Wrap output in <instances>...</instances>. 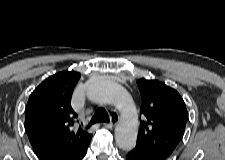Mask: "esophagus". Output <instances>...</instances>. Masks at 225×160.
Instances as JSON below:
<instances>
[{
    "label": "esophagus",
    "mask_w": 225,
    "mask_h": 160,
    "mask_svg": "<svg viewBox=\"0 0 225 160\" xmlns=\"http://www.w3.org/2000/svg\"><path fill=\"white\" fill-rule=\"evenodd\" d=\"M111 119H112V122H110V123H104L103 124L104 127L110 128V129L113 128L115 126L117 120L119 119L118 113H112Z\"/></svg>",
    "instance_id": "obj_1"
}]
</instances>
